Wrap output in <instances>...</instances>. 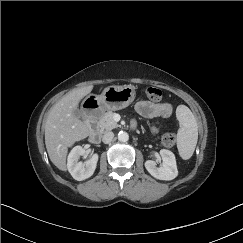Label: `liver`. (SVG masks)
Returning a JSON list of instances; mask_svg holds the SVG:
<instances>
[{
  "mask_svg": "<svg viewBox=\"0 0 243 243\" xmlns=\"http://www.w3.org/2000/svg\"><path fill=\"white\" fill-rule=\"evenodd\" d=\"M92 90V85L74 89L50 109L45 123V145L51 162L59 170H67L68 148L90 134V128L74 115V110Z\"/></svg>",
  "mask_w": 243,
  "mask_h": 243,
  "instance_id": "6515ba94",
  "label": "liver"
}]
</instances>
